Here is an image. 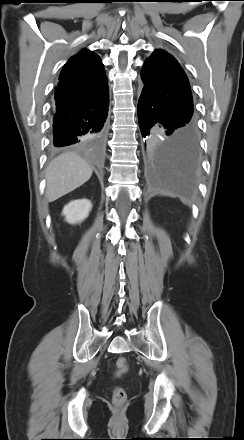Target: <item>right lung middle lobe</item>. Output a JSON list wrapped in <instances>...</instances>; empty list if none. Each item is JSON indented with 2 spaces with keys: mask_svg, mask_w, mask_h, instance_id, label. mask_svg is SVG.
I'll list each match as a JSON object with an SVG mask.
<instances>
[{
  "mask_svg": "<svg viewBox=\"0 0 244 440\" xmlns=\"http://www.w3.org/2000/svg\"><path fill=\"white\" fill-rule=\"evenodd\" d=\"M100 140H101V137H94V138L89 139L86 142H96V141H100Z\"/></svg>",
  "mask_w": 244,
  "mask_h": 440,
  "instance_id": "obj_1",
  "label": "right lung middle lobe"
}]
</instances>
